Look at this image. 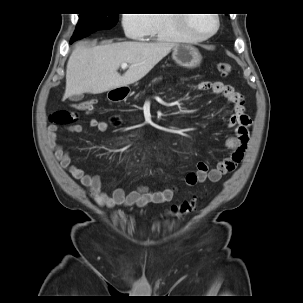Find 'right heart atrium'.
<instances>
[{"label":"right heart atrium","instance_id":"right-heart-atrium-1","mask_svg":"<svg viewBox=\"0 0 303 303\" xmlns=\"http://www.w3.org/2000/svg\"><path fill=\"white\" fill-rule=\"evenodd\" d=\"M122 26L126 36L130 39H140L149 30L150 21L148 14H124Z\"/></svg>","mask_w":303,"mask_h":303}]
</instances>
